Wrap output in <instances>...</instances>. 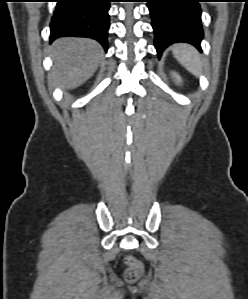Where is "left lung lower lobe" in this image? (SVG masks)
I'll use <instances>...</instances> for the list:
<instances>
[{"mask_svg":"<svg viewBox=\"0 0 248 299\" xmlns=\"http://www.w3.org/2000/svg\"><path fill=\"white\" fill-rule=\"evenodd\" d=\"M155 33V47L160 56L176 42H186L201 50V0H147Z\"/></svg>","mask_w":248,"mask_h":299,"instance_id":"left-lung-lower-lobe-1","label":"left lung lower lobe"}]
</instances>
